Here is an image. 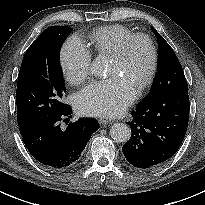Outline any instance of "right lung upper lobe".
<instances>
[{
    "instance_id": "1",
    "label": "right lung upper lobe",
    "mask_w": 205,
    "mask_h": 205,
    "mask_svg": "<svg viewBox=\"0 0 205 205\" xmlns=\"http://www.w3.org/2000/svg\"><path fill=\"white\" fill-rule=\"evenodd\" d=\"M19 129H20V128H19ZM25 130H26V128H23V127H22V128L20 129V132L23 133Z\"/></svg>"
}]
</instances>
